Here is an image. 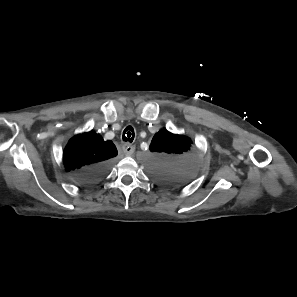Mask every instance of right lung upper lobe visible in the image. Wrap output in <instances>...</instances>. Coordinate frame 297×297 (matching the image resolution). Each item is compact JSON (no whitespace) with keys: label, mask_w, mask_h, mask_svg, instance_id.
<instances>
[{"label":"right lung upper lobe","mask_w":297,"mask_h":297,"mask_svg":"<svg viewBox=\"0 0 297 297\" xmlns=\"http://www.w3.org/2000/svg\"><path fill=\"white\" fill-rule=\"evenodd\" d=\"M118 154L112 141H104L96 133L87 132L73 137L64 150L63 160L67 171L75 174L87 167L109 162Z\"/></svg>","instance_id":"right-lung-upper-lobe-1"}]
</instances>
